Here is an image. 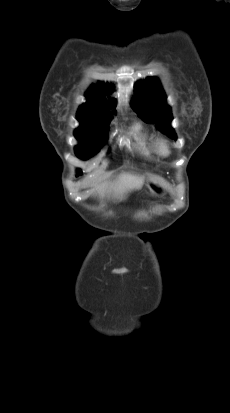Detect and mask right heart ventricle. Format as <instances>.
Wrapping results in <instances>:
<instances>
[{"instance_id":"1","label":"right heart ventricle","mask_w":230,"mask_h":413,"mask_svg":"<svg viewBox=\"0 0 230 413\" xmlns=\"http://www.w3.org/2000/svg\"><path fill=\"white\" fill-rule=\"evenodd\" d=\"M133 134L137 137L138 148L143 153H150L157 151V144L154 139L143 131L141 126L137 125L132 128Z\"/></svg>"}]
</instances>
